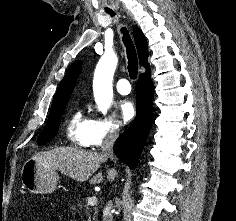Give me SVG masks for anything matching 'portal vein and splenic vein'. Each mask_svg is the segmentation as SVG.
Masks as SVG:
<instances>
[{"label":"portal vein and splenic vein","mask_w":236,"mask_h":221,"mask_svg":"<svg viewBox=\"0 0 236 221\" xmlns=\"http://www.w3.org/2000/svg\"><path fill=\"white\" fill-rule=\"evenodd\" d=\"M87 204L89 206H94L97 204V197L96 196H91L87 199Z\"/></svg>","instance_id":"portal-vein-and-splenic-vein-1"}]
</instances>
